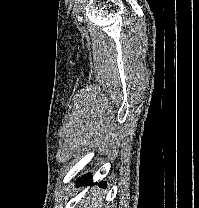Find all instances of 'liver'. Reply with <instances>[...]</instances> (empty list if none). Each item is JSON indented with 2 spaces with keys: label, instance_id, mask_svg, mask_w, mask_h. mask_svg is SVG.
<instances>
[{
  "label": "liver",
  "instance_id": "liver-1",
  "mask_svg": "<svg viewBox=\"0 0 199 208\" xmlns=\"http://www.w3.org/2000/svg\"><path fill=\"white\" fill-rule=\"evenodd\" d=\"M89 193V192H88ZM91 194L94 196L96 195V193L92 192L91 191ZM101 200L98 199V200H90L89 198L87 197H83V199H81V203L84 205V208H99V205L101 204Z\"/></svg>",
  "mask_w": 199,
  "mask_h": 208
}]
</instances>
